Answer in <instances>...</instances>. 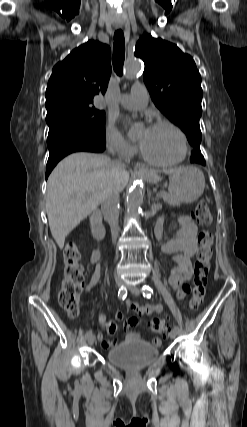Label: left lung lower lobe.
<instances>
[{
	"mask_svg": "<svg viewBox=\"0 0 247 427\" xmlns=\"http://www.w3.org/2000/svg\"><path fill=\"white\" fill-rule=\"evenodd\" d=\"M190 161L195 162V163H201L203 165L205 164V160H204L203 155L201 154V151H198L196 149H193Z\"/></svg>",
	"mask_w": 247,
	"mask_h": 427,
	"instance_id": "0a47b994",
	"label": "left lung lower lobe"
}]
</instances>
